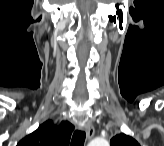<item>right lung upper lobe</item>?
Here are the masks:
<instances>
[{
    "label": "right lung upper lobe",
    "instance_id": "right-lung-upper-lobe-1",
    "mask_svg": "<svg viewBox=\"0 0 164 146\" xmlns=\"http://www.w3.org/2000/svg\"><path fill=\"white\" fill-rule=\"evenodd\" d=\"M73 128L69 122H61L57 129L53 122L48 120L23 138L18 146H67Z\"/></svg>",
    "mask_w": 164,
    "mask_h": 146
}]
</instances>
